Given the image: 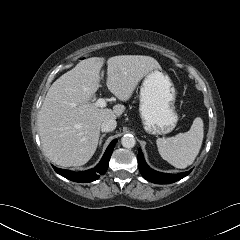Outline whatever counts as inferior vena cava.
<instances>
[{
  "instance_id": "1",
  "label": "inferior vena cava",
  "mask_w": 240,
  "mask_h": 240,
  "mask_svg": "<svg viewBox=\"0 0 240 240\" xmlns=\"http://www.w3.org/2000/svg\"><path fill=\"white\" fill-rule=\"evenodd\" d=\"M117 122L115 119H106L101 124L102 132H110L116 128Z\"/></svg>"
}]
</instances>
